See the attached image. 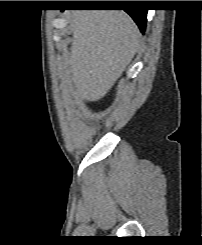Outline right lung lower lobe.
I'll list each match as a JSON object with an SVG mask.
<instances>
[{
	"mask_svg": "<svg viewBox=\"0 0 202 245\" xmlns=\"http://www.w3.org/2000/svg\"><path fill=\"white\" fill-rule=\"evenodd\" d=\"M126 11L136 22L138 27L142 32H144L145 27H146V15H147V10L145 9H126Z\"/></svg>",
	"mask_w": 202,
	"mask_h": 245,
	"instance_id": "obj_1",
	"label": "right lung lower lobe"
}]
</instances>
